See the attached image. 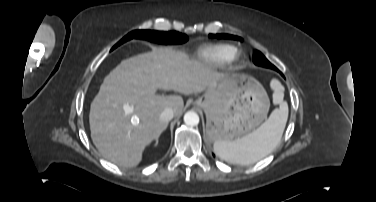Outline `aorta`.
<instances>
[{"instance_id": "aorta-1", "label": "aorta", "mask_w": 376, "mask_h": 202, "mask_svg": "<svg viewBox=\"0 0 376 202\" xmlns=\"http://www.w3.org/2000/svg\"><path fill=\"white\" fill-rule=\"evenodd\" d=\"M199 115L194 111H188L184 115V122L188 126H196L199 124Z\"/></svg>"}]
</instances>
